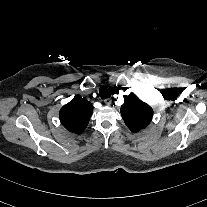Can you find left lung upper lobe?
<instances>
[{
    "label": "left lung upper lobe",
    "mask_w": 207,
    "mask_h": 207,
    "mask_svg": "<svg viewBox=\"0 0 207 207\" xmlns=\"http://www.w3.org/2000/svg\"><path fill=\"white\" fill-rule=\"evenodd\" d=\"M120 111L125 124L132 132L147 127L153 116L152 108L132 94L125 96Z\"/></svg>",
    "instance_id": "5c2ea615"
}]
</instances>
